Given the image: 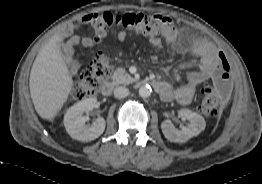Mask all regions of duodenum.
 <instances>
[{"label":"duodenum","instance_id":"1","mask_svg":"<svg viewBox=\"0 0 262 184\" xmlns=\"http://www.w3.org/2000/svg\"><path fill=\"white\" fill-rule=\"evenodd\" d=\"M139 85H149L155 89L159 87V81L156 80H143L139 82ZM114 88L112 81L106 82L101 88V92L104 96H110Z\"/></svg>","mask_w":262,"mask_h":184}]
</instances>
